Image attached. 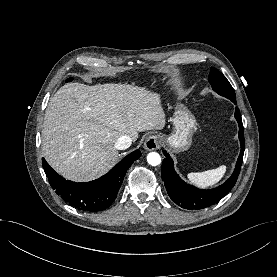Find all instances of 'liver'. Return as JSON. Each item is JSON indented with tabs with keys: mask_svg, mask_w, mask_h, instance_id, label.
Listing matches in <instances>:
<instances>
[{
	"mask_svg": "<svg viewBox=\"0 0 277 277\" xmlns=\"http://www.w3.org/2000/svg\"><path fill=\"white\" fill-rule=\"evenodd\" d=\"M165 123L160 96L145 88L68 83L47 106L43 155L66 179L95 180L116 163L119 137L128 135L136 141L138 132L161 130Z\"/></svg>",
	"mask_w": 277,
	"mask_h": 277,
	"instance_id": "liver-1",
	"label": "liver"
}]
</instances>
